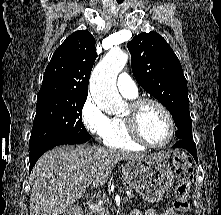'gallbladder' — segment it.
I'll return each mask as SVG.
<instances>
[{"mask_svg": "<svg viewBox=\"0 0 221 215\" xmlns=\"http://www.w3.org/2000/svg\"><path fill=\"white\" fill-rule=\"evenodd\" d=\"M63 215H82L81 209L76 205H70Z\"/></svg>", "mask_w": 221, "mask_h": 215, "instance_id": "1", "label": "gallbladder"}]
</instances>
